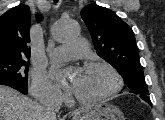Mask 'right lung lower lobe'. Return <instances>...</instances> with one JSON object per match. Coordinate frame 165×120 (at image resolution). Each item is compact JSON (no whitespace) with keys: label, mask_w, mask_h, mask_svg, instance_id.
<instances>
[{"label":"right lung lower lobe","mask_w":165,"mask_h":120,"mask_svg":"<svg viewBox=\"0 0 165 120\" xmlns=\"http://www.w3.org/2000/svg\"><path fill=\"white\" fill-rule=\"evenodd\" d=\"M0 85H7L9 87H12V88L18 90L19 92H21L23 94H27L28 88H24V87H21L19 85H15V84H0Z\"/></svg>","instance_id":"right-lung-lower-lobe-1"}]
</instances>
